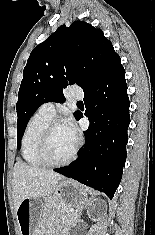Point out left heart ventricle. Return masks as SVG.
<instances>
[{
  "instance_id": "left-heart-ventricle-1",
  "label": "left heart ventricle",
  "mask_w": 155,
  "mask_h": 235,
  "mask_svg": "<svg viewBox=\"0 0 155 235\" xmlns=\"http://www.w3.org/2000/svg\"><path fill=\"white\" fill-rule=\"evenodd\" d=\"M76 141L72 138L64 124L55 126L48 144V156L53 161H61L72 152Z\"/></svg>"
}]
</instances>
